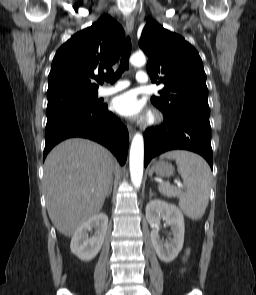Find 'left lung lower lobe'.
Segmentation results:
<instances>
[{
    "mask_svg": "<svg viewBox=\"0 0 256 295\" xmlns=\"http://www.w3.org/2000/svg\"><path fill=\"white\" fill-rule=\"evenodd\" d=\"M144 144L145 167L153 157L161 153L184 149L200 154L213 168L209 116L183 111L164 117L161 126L145 131Z\"/></svg>",
    "mask_w": 256,
    "mask_h": 295,
    "instance_id": "obj_1",
    "label": "left lung lower lobe"
}]
</instances>
